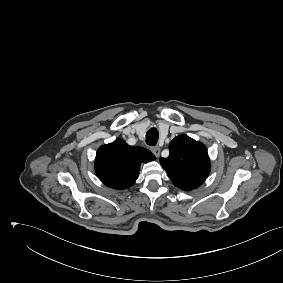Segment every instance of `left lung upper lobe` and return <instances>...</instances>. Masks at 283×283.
<instances>
[{
	"mask_svg": "<svg viewBox=\"0 0 283 283\" xmlns=\"http://www.w3.org/2000/svg\"><path fill=\"white\" fill-rule=\"evenodd\" d=\"M169 150V156L159 161L176 187L191 191L205 182L210 173V159L202 143L180 135L170 142Z\"/></svg>",
	"mask_w": 283,
	"mask_h": 283,
	"instance_id": "5c2ea615",
	"label": "left lung upper lobe"
}]
</instances>
